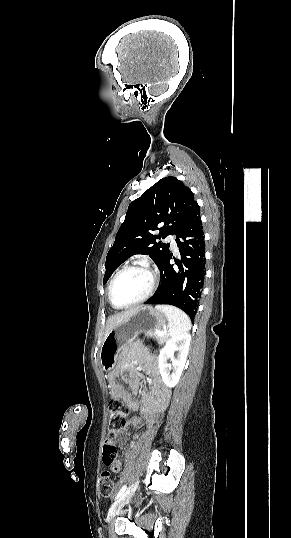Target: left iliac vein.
Returning a JSON list of instances; mask_svg holds the SVG:
<instances>
[{"label":"left iliac vein","mask_w":291,"mask_h":538,"mask_svg":"<svg viewBox=\"0 0 291 538\" xmlns=\"http://www.w3.org/2000/svg\"><path fill=\"white\" fill-rule=\"evenodd\" d=\"M138 479L128 488V490L124 493V495L117 500L111 509L109 510L107 521L110 522L116 514L121 510V508L130 500V498L133 496L137 486H138Z\"/></svg>","instance_id":"1"}]
</instances>
